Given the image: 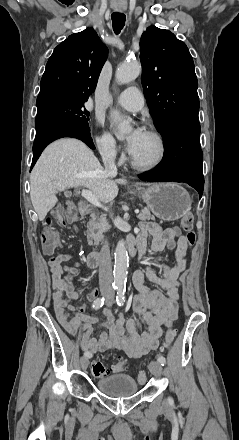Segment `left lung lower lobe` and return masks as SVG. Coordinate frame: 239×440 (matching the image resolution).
Returning a JSON list of instances; mask_svg holds the SVG:
<instances>
[{
    "instance_id": "0a47b994",
    "label": "left lung lower lobe",
    "mask_w": 239,
    "mask_h": 440,
    "mask_svg": "<svg viewBox=\"0 0 239 440\" xmlns=\"http://www.w3.org/2000/svg\"><path fill=\"white\" fill-rule=\"evenodd\" d=\"M165 154L154 171L139 175L145 181H174L188 183L201 198L204 188L203 153L200 147L199 122H184L172 127L163 137Z\"/></svg>"
}]
</instances>
